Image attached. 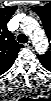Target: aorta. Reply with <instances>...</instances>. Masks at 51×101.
I'll use <instances>...</instances> for the list:
<instances>
[{
	"mask_svg": "<svg viewBox=\"0 0 51 101\" xmlns=\"http://www.w3.org/2000/svg\"><path fill=\"white\" fill-rule=\"evenodd\" d=\"M23 32H25L34 42L35 49L38 53L42 54L47 51L48 40L44 30L40 27L39 23L31 18L26 17L21 24Z\"/></svg>",
	"mask_w": 51,
	"mask_h": 101,
	"instance_id": "762f6f07",
	"label": "aorta"
}]
</instances>
